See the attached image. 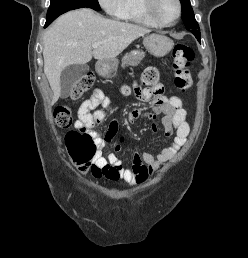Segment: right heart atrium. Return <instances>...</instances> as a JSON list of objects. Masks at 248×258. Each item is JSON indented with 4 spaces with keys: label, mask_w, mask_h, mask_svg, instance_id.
<instances>
[{
    "label": "right heart atrium",
    "mask_w": 248,
    "mask_h": 258,
    "mask_svg": "<svg viewBox=\"0 0 248 258\" xmlns=\"http://www.w3.org/2000/svg\"><path fill=\"white\" fill-rule=\"evenodd\" d=\"M100 6L111 16L120 18L125 7V0H98Z\"/></svg>",
    "instance_id": "right-heart-atrium-1"
}]
</instances>
